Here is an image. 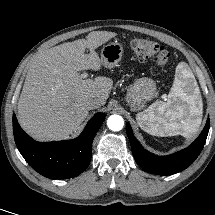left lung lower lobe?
Returning <instances> with one entry per match:
<instances>
[{
    "instance_id": "0a47b994",
    "label": "left lung lower lobe",
    "mask_w": 215,
    "mask_h": 215,
    "mask_svg": "<svg viewBox=\"0 0 215 215\" xmlns=\"http://www.w3.org/2000/svg\"><path fill=\"white\" fill-rule=\"evenodd\" d=\"M210 126L209 118L198 138L187 148L167 156H156L145 150L133 135L131 126L126 124V132L131 149L140 167L152 174L172 175L189 167L204 147Z\"/></svg>"
}]
</instances>
